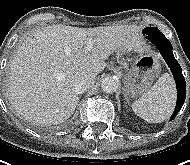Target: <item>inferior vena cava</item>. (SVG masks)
<instances>
[{
  "mask_svg": "<svg viewBox=\"0 0 190 165\" xmlns=\"http://www.w3.org/2000/svg\"><path fill=\"white\" fill-rule=\"evenodd\" d=\"M96 81V77L93 74L85 73L76 77L75 90L77 93H83L90 89Z\"/></svg>",
  "mask_w": 190,
  "mask_h": 165,
  "instance_id": "obj_1",
  "label": "inferior vena cava"
}]
</instances>
